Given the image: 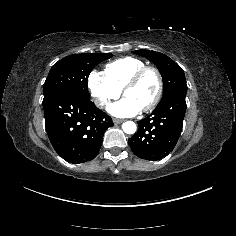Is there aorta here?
Returning <instances> with one entry per match:
<instances>
[{"label":"aorta","instance_id":"aorta-1","mask_svg":"<svg viewBox=\"0 0 236 236\" xmlns=\"http://www.w3.org/2000/svg\"><path fill=\"white\" fill-rule=\"evenodd\" d=\"M122 129L126 134H134L137 127L133 121H127L122 124Z\"/></svg>","mask_w":236,"mask_h":236}]
</instances>
